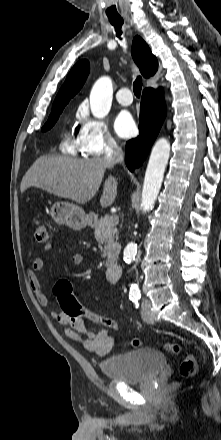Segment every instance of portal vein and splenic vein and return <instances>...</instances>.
I'll return each instance as SVG.
<instances>
[{"mask_svg": "<svg viewBox=\"0 0 221 440\" xmlns=\"http://www.w3.org/2000/svg\"><path fill=\"white\" fill-rule=\"evenodd\" d=\"M118 223H119L118 215H112L111 218H110V224L115 226Z\"/></svg>", "mask_w": 221, "mask_h": 440, "instance_id": "1", "label": "portal vein and splenic vein"}]
</instances>
